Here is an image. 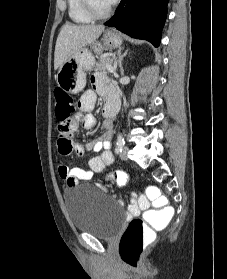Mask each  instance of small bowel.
I'll return each instance as SVG.
<instances>
[{"label": "small bowel", "instance_id": "c3829d8e", "mask_svg": "<svg viewBox=\"0 0 227 279\" xmlns=\"http://www.w3.org/2000/svg\"><path fill=\"white\" fill-rule=\"evenodd\" d=\"M91 83L92 89L85 91L79 99L78 107L80 114L74 122L72 130H75L79 123L87 130L94 127L95 118L89 113L95 109L99 96L103 97L106 103L109 100H114L117 104L119 102L117 93L114 88L109 85L104 75H94L91 78ZM70 132L67 133L62 131L59 137L58 149L62 156H67L73 151L80 157L87 151L100 152V155L88 161V169L61 165L59 167V176L67 184L73 185L79 181L90 180L95 173H100L113 164L115 156L110 150L112 145V131L109 121L103 123L102 135L98 140L90 141L85 144L71 142L69 137ZM149 207V200L145 196H140L138 200L133 199L131 201L128 207V213L138 214Z\"/></svg>", "mask_w": 227, "mask_h": 279}]
</instances>
